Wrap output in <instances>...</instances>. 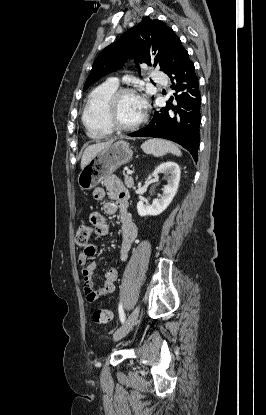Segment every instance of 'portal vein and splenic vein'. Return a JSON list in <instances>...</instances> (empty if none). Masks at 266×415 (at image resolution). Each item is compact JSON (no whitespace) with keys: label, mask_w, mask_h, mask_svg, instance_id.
I'll return each instance as SVG.
<instances>
[{"label":"portal vein and splenic vein","mask_w":266,"mask_h":415,"mask_svg":"<svg viewBox=\"0 0 266 415\" xmlns=\"http://www.w3.org/2000/svg\"><path fill=\"white\" fill-rule=\"evenodd\" d=\"M132 173H133L132 170L127 169V174H132Z\"/></svg>","instance_id":"18ae733b"}]
</instances>
